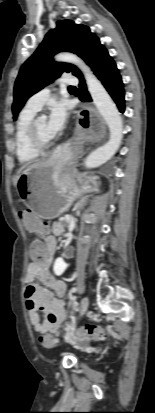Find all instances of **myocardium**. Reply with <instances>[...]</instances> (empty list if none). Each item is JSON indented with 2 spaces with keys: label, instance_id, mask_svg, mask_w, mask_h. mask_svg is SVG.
<instances>
[{
  "label": "myocardium",
  "instance_id": "obj_1",
  "mask_svg": "<svg viewBox=\"0 0 155 413\" xmlns=\"http://www.w3.org/2000/svg\"><path fill=\"white\" fill-rule=\"evenodd\" d=\"M37 121H38L37 118H34L31 121L28 127V130H27V138H28V142L30 146L33 149L41 152L47 149L48 147H50V145L52 144V139L44 141L39 137L38 132H37Z\"/></svg>",
  "mask_w": 155,
  "mask_h": 413
}]
</instances>
